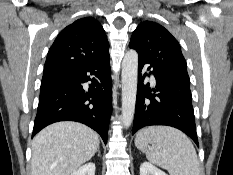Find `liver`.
<instances>
[{
    "label": "liver",
    "mask_w": 233,
    "mask_h": 175,
    "mask_svg": "<svg viewBox=\"0 0 233 175\" xmlns=\"http://www.w3.org/2000/svg\"><path fill=\"white\" fill-rule=\"evenodd\" d=\"M98 146L97 133L84 124H51L33 139L31 175H70L94 156Z\"/></svg>",
    "instance_id": "liver-1"
}]
</instances>
